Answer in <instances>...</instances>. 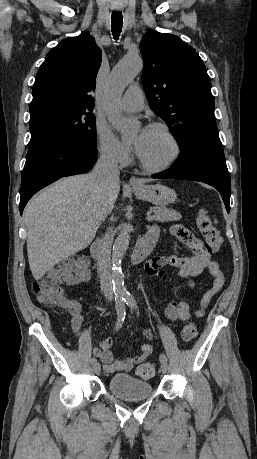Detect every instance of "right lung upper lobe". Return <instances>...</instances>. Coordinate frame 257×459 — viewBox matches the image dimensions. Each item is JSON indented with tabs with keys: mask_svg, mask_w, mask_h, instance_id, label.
<instances>
[{
	"mask_svg": "<svg viewBox=\"0 0 257 459\" xmlns=\"http://www.w3.org/2000/svg\"><path fill=\"white\" fill-rule=\"evenodd\" d=\"M100 65L101 50L88 32L61 41L39 68L30 112L50 106L92 110Z\"/></svg>",
	"mask_w": 257,
	"mask_h": 459,
	"instance_id": "right-lung-upper-lobe-1",
	"label": "right lung upper lobe"
}]
</instances>
